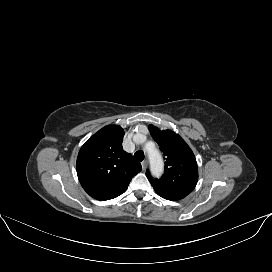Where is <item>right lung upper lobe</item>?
I'll list each match as a JSON object with an SVG mask.
<instances>
[{"mask_svg": "<svg viewBox=\"0 0 272 272\" xmlns=\"http://www.w3.org/2000/svg\"><path fill=\"white\" fill-rule=\"evenodd\" d=\"M124 130L108 125L81 147L77 175L83 189L97 200L113 199L126 191L142 167L122 148Z\"/></svg>", "mask_w": 272, "mask_h": 272, "instance_id": "obj_1", "label": "right lung upper lobe"}]
</instances>
